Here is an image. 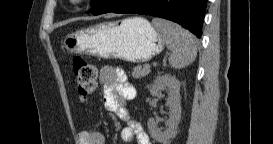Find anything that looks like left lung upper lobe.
Instances as JSON below:
<instances>
[{"instance_id":"obj_1","label":"left lung upper lobe","mask_w":273,"mask_h":144,"mask_svg":"<svg viewBox=\"0 0 273 144\" xmlns=\"http://www.w3.org/2000/svg\"><path fill=\"white\" fill-rule=\"evenodd\" d=\"M109 0H92V14L99 12L108 2Z\"/></svg>"}]
</instances>
